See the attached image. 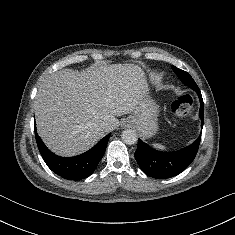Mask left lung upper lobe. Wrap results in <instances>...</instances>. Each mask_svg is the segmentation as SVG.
Segmentation results:
<instances>
[{"mask_svg": "<svg viewBox=\"0 0 235 235\" xmlns=\"http://www.w3.org/2000/svg\"><path fill=\"white\" fill-rule=\"evenodd\" d=\"M172 69H173V71L177 74V76L180 78V80L183 82L184 81V79L185 80H187V81H189V83L190 84H192V85H190V86H188V87H190L191 89H196V88H198V86H197V84L195 83V81L193 80V78L190 76V74L189 73H187V72H185V71H183V70H181V69H178L177 67H175V66H172ZM184 83V82H183ZM191 86H193V87H191Z\"/></svg>", "mask_w": 235, "mask_h": 235, "instance_id": "left-lung-upper-lobe-1", "label": "left lung upper lobe"}]
</instances>
